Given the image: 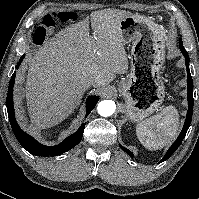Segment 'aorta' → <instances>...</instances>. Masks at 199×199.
<instances>
[{
    "instance_id": "1",
    "label": "aorta",
    "mask_w": 199,
    "mask_h": 199,
    "mask_svg": "<svg viewBox=\"0 0 199 199\" xmlns=\"http://www.w3.org/2000/svg\"><path fill=\"white\" fill-rule=\"evenodd\" d=\"M115 103L111 100H103L98 104L97 111L103 117L111 116L115 111Z\"/></svg>"
}]
</instances>
